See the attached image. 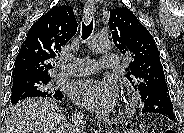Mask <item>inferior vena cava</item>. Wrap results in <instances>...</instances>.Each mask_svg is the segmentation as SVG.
Instances as JSON below:
<instances>
[{
    "mask_svg": "<svg viewBox=\"0 0 184 133\" xmlns=\"http://www.w3.org/2000/svg\"><path fill=\"white\" fill-rule=\"evenodd\" d=\"M73 124L69 126L68 133H80L84 129V119L81 112L74 113L72 117Z\"/></svg>",
    "mask_w": 184,
    "mask_h": 133,
    "instance_id": "obj_1",
    "label": "inferior vena cava"
}]
</instances>
